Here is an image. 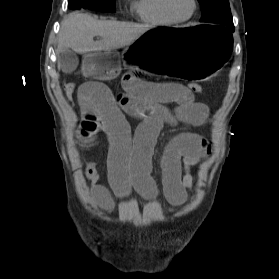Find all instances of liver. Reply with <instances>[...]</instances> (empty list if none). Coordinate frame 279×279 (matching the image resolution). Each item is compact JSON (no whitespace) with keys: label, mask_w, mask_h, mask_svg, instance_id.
Here are the masks:
<instances>
[{"label":"liver","mask_w":279,"mask_h":279,"mask_svg":"<svg viewBox=\"0 0 279 279\" xmlns=\"http://www.w3.org/2000/svg\"><path fill=\"white\" fill-rule=\"evenodd\" d=\"M151 28L150 25L103 21L88 14L71 13L61 23L56 54L67 49L80 54L117 49L131 44ZM95 36L101 40L94 41Z\"/></svg>","instance_id":"liver-1"}]
</instances>
